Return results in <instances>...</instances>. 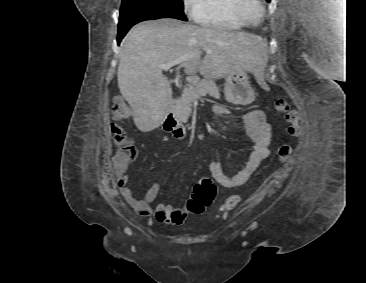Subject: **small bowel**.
<instances>
[{
    "label": "small bowel",
    "mask_w": 366,
    "mask_h": 283,
    "mask_svg": "<svg viewBox=\"0 0 366 283\" xmlns=\"http://www.w3.org/2000/svg\"><path fill=\"white\" fill-rule=\"evenodd\" d=\"M216 120L221 128L220 118L227 114V109L222 104L214 106ZM242 130L253 141V149L244 166L235 174L228 176L224 173L222 166L218 162H211L209 170L214 180L225 188L240 187L244 185L257 169L260 163L269 155V145L271 139V126L266 120L263 110H252L242 117ZM114 171L117 186L122 197L142 216H152L159 223L181 224L186 215L185 208H173L171 205L158 204L155 209L150 207L158 196L160 184L154 181L148 188L144 198H136L134 192L127 186L129 176L127 167L119 166L114 162Z\"/></svg>",
    "instance_id": "c3829d8e"
}]
</instances>
